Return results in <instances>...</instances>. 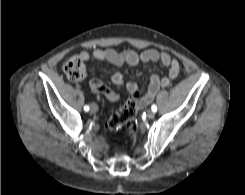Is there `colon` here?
<instances>
[{
    "label": "colon",
    "mask_w": 245,
    "mask_h": 195,
    "mask_svg": "<svg viewBox=\"0 0 245 195\" xmlns=\"http://www.w3.org/2000/svg\"><path fill=\"white\" fill-rule=\"evenodd\" d=\"M63 71L67 78L73 82H79L86 76V67L78 56L69 58L63 65ZM138 105L139 97L138 94H135L107 118L106 127L111 131H116L122 127L134 131L137 127L136 113Z\"/></svg>",
    "instance_id": "colon-1"
}]
</instances>
